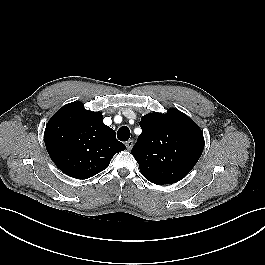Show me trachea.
Segmentation results:
<instances>
[{
    "instance_id": "obj_1",
    "label": "trachea",
    "mask_w": 265,
    "mask_h": 265,
    "mask_svg": "<svg viewBox=\"0 0 265 265\" xmlns=\"http://www.w3.org/2000/svg\"><path fill=\"white\" fill-rule=\"evenodd\" d=\"M117 137L120 141H127L130 137V130L127 126H122L117 131Z\"/></svg>"
}]
</instances>
